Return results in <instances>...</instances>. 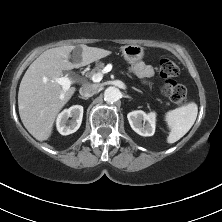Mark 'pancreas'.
Here are the masks:
<instances>
[{
	"label": "pancreas",
	"mask_w": 222,
	"mask_h": 222,
	"mask_svg": "<svg viewBox=\"0 0 222 222\" xmlns=\"http://www.w3.org/2000/svg\"><path fill=\"white\" fill-rule=\"evenodd\" d=\"M103 68H104V63L99 62L96 64L95 68L92 69V71L87 74V76L92 77L94 74L102 72ZM167 104H169V103H167Z\"/></svg>",
	"instance_id": "pancreas-1"
}]
</instances>
